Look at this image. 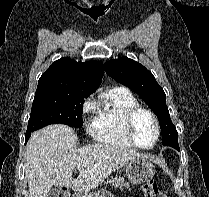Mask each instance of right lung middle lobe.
I'll use <instances>...</instances> for the list:
<instances>
[{
	"instance_id": "right-lung-middle-lobe-1",
	"label": "right lung middle lobe",
	"mask_w": 209,
	"mask_h": 197,
	"mask_svg": "<svg viewBox=\"0 0 209 197\" xmlns=\"http://www.w3.org/2000/svg\"><path fill=\"white\" fill-rule=\"evenodd\" d=\"M93 92L73 84L38 83L26 133L54 123L81 128L84 99Z\"/></svg>"
}]
</instances>
